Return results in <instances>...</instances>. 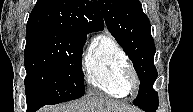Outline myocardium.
<instances>
[{
  "label": "myocardium",
  "mask_w": 193,
  "mask_h": 112,
  "mask_svg": "<svg viewBox=\"0 0 193 112\" xmlns=\"http://www.w3.org/2000/svg\"><path fill=\"white\" fill-rule=\"evenodd\" d=\"M124 76L131 90H136L139 85V80L135 69L129 62L124 68Z\"/></svg>",
  "instance_id": "obj_1"
}]
</instances>
